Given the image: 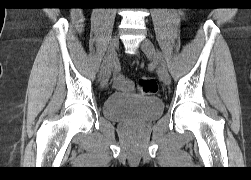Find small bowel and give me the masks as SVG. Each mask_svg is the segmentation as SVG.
<instances>
[{"label": "small bowel", "mask_w": 251, "mask_h": 180, "mask_svg": "<svg viewBox=\"0 0 251 180\" xmlns=\"http://www.w3.org/2000/svg\"><path fill=\"white\" fill-rule=\"evenodd\" d=\"M83 20H84L83 15L79 11H75L72 13V21L75 26V29L78 32H82L83 30ZM114 85L117 89L121 91H131L133 88L131 81L124 78L120 74L115 75Z\"/></svg>", "instance_id": "small-bowel-1"}]
</instances>
